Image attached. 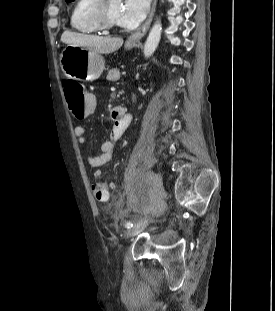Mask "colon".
Instances as JSON below:
<instances>
[{
    "mask_svg": "<svg viewBox=\"0 0 275 311\" xmlns=\"http://www.w3.org/2000/svg\"><path fill=\"white\" fill-rule=\"evenodd\" d=\"M65 94L71 113L76 121H87L95 112V92H87L85 87L75 81L65 83ZM94 197L101 202L108 201L109 189L107 184L96 175L92 183Z\"/></svg>",
    "mask_w": 275,
    "mask_h": 311,
    "instance_id": "5ec220e1",
    "label": "colon"
}]
</instances>
